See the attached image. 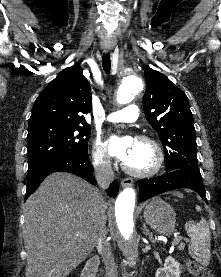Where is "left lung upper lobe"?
Segmentation results:
<instances>
[{
	"instance_id": "left-lung-upper-lobe-1",
	"label": "left lung upper lobe",
	"mask_w": 221,
	"mask_h": 277,
	"mask_svg": "<svg viewBox=\"0 0 221 277\" xmlns=\"http://www.w3.org/2000/svg\"><path fill=\"white\" fill-rule=\"evenodd\" d=\"M145 79L144 113L164 145L166 172L187 170L201 176L193 116L186 94L150 67L145 69Z\"/></svg>"
}]
</instances>
